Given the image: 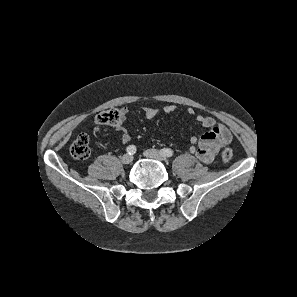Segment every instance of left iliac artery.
Returning a JSON list of instances; mask_svg holds the SVG:
<instances>
[{
    "mask_svg": "<svg viewBox=\"0 0 297 297\" xmlns=\"http://www.w3.org/2000/svg\"><path fill=\"white\" fill-rule=\"evenodd\" d=\"M160 152H161L164 156H167V157H171V156H173V154H174L173 150H171V149H169V148L161 149Z\"/></svg>",
    "mask_w": 297,
    "mask_h": 297,
    "instance_id": "44dca946",
    "label": "left iliac artery"
}]
</instances>
